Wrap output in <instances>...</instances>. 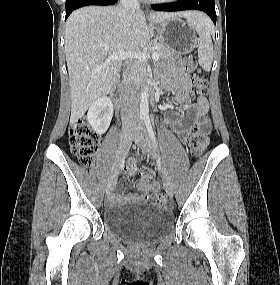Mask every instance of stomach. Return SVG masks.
Here are the masks:
<instances>
[{
    "label": "stomach",
    "mask_w": 280,
    "mask_h": 285,
    "mask_svg": "<svg viewBox=\"0 0 280 285\" xmlns=\"http://www.w3.org/2000/svg\"><path fill=\"white\" fill-rule=\"evenodd\" d=\"M156 28L160 42L174 52L187 54L197 46L195 29L190 22L169 18Z\"/></svg>",
    "instance_id": "0dacf381"
}]
</instances>
